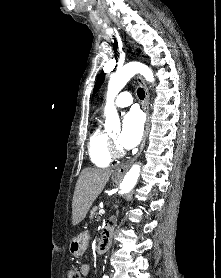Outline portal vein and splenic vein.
<instances>
[{"label":"portal vein and splenic vein","instance_id":"1","mask_svg":"<svg viewBox=\"0 0 221 278\" xmlns=\"http://www.w3.org/2000/svg\"><path fill=\"white\" fill-rule=\"evenodd\" d=\"M99 214H105V210L104 209H100L99 210Z\"/></svg>","mask_w":221,"mask_h":278}]
</instances>
